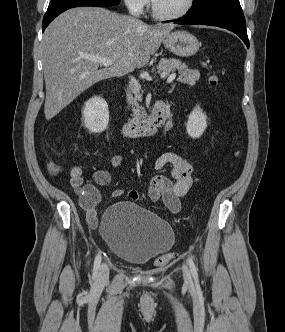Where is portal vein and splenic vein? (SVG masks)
<instances>
[{
  "mask_svg": "<svg viewBox=\"0 0 285 332\" xmlns=\"http://www.w3.org/2000/svg\"><path fill=\"white\" fill-rule=\"evenodd\" d=\"M86 59L90 60V61H93V62H96V63H99L105 67L107 66H110V65H113L114 64V61L111 60V59H106V58H102V57H99V56H85ZM166 76L165 73H162L161 74V77L164 78ZM176 77V73H173L171 75L168 76L167 78V83H170L171 81H173ZM131 82L137 87V88H140V84L138 83V81L134 78V77H131Z\"/></svg>",
  "mask_w": 285,
  "mask_h": 332,
  "instance_id": "1",
  "label": "portal vein and splenic vein"
}]
</instances>
